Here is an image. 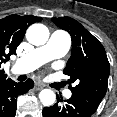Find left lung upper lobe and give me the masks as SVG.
I'll return each instance as SVG.
<instances>
[{
  "mask_svg": "<svg viewBox=\"0 0 117 117\" xmlns=\"http://www.w3.org/2000/svg\"><path fill=\"white\" fill-rule=\"evenodd\" d=\"M61 29L70 33L72 53L64 69L71 82L72 95L97 109L107 91L110 66L102 44L78 21L70 17L52 18Z\"/></svg>",
  "mask_w": 117,
  "mask_h": 117,
  "instance_id": "obj_1",
  "label": "left lung upper lobe"
}]
</instances>
